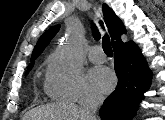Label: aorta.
Segmentation results:
<instances>
[{
    "label": "aorta",
    "instance_id": "aorta-1",
    "mask_svg": "<svg viewBox=\"0 0 165 120\" xmlns=\"http://www.w3.org/2000/svg\"><path fill=\"white\" fill-rule=\"evenodd\" d=\"M82 28L78 22H74L69 28L67 37L60 49V59L71 70H77L83 58Z\"/></svg>",
    "mask_w": 165,
    "mask_h": 120
}]
</instances>
